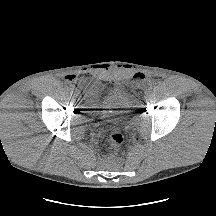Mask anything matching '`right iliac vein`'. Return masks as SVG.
Returning <instances> with one entry per match:
<instances>
[{"label": "right iliac vein", "mask_w": 216, "mask_h": 216, "mask_svg": "<svg viewBox=\"0 0 216 216\" xmlns=\"http://www.w3.org/2000/svg\"><path fill=\"white\" fill-rule=\"evenodd\" d=\"M74 95H76L78 92L76 89H74V91L72 92Z\"/></svg>", "instance_id": "obj_1"}]
</instances>
